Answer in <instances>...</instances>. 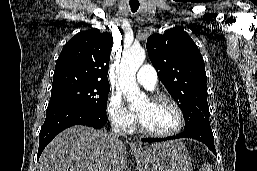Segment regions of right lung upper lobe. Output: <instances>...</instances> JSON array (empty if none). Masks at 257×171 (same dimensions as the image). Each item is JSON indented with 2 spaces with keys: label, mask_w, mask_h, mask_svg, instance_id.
<instances>
[{
  "label": "right lung upper lobe",
  "mask_w": 257,
  "mask_h": 171,
  "mask_svg": "<svg viewBox=\"0 0 257 171\" xmlns=\"http://www.w3.org/2000/svg\"><path fill=\"white\" fill-rule=\"evenodd\" d=\"M112 43L111 34L96 28L76 34L56 61L52 89L76 83H108Z\"/></svg>",
  "instance_id": "obj_1"
}]
</instances>
